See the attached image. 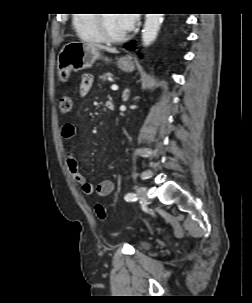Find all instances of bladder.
<instances>
[{
	"mask_svg": "<svg viewBox=\"0 0 252 303\" xmlns=\"http://www.w3.org/2000/svg\"><path fill=\"white\" fill-rule=\"evenodd\" d=\"M136 245H137V248L142 251L149 250L153 247V244L148 241H139Z\"/></svg>",
	"mask_w": 252,
	"mask_h": 303,
	"instance_id": "bladder-1",
	"label": "bladder"
}]
</instances>
